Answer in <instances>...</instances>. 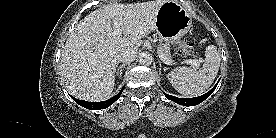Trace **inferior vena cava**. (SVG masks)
Listing matches in <instances>:
<instances>
[{
	"label": "inferior vena cava",
	"instance_id": "602c4592",
	"mask_svg": "<svg viewBox=\"0 0 276 138\" xmlns=\"http://www.w3.org/2000/svg\"><path fill=\"white\" fill-rule=\"evenodd\" d=\"M136 56H137V50L127 49L125 51L120 52V54L118 55V59L123 63H131L132 61L135 60Z\"/></svg>",
	"mask_w": 276,
	"mask_h": 138
}]
</instances>
